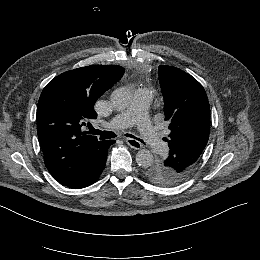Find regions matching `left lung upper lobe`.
<instances>
[{
  "label": "left lung upper lobe",
  "instance_id": "1",
  "mask_svg": "<svg viewBox=\"0 0 260 260\" xmlns=\"http://www.w3.org/2000/svg\"><path fill=\"white\" fill-rule=\"evenodd\" d=\"M159 82L164 96L165 120L169 122V156L145 170L148 180L176 185L185 180L200 162L208 142L210 107L203 86L184 71L160 65Z\"/></svg>",
  "mask_w": 260,
  "mask_h": 260
}]
</instances>
